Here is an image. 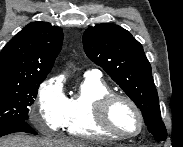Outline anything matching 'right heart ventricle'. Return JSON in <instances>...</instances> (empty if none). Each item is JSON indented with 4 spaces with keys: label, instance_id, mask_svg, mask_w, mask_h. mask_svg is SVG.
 Returning <instances> with one entry per match:
<instances>
[{
    "label": "right heart ventricle",
    "instance_id": "obj_1",
    "mask_svg": "<svg viewBox=\"0 0 183 147\" xmlns=\"http://www.w3.org/2000/svg\"><path fill=\"white\" fill-rule=\"evenodd\" d=\"M111 93L109 86L100 79L86 77L74 94L67 97L63 128L75 137L85 139L116 137L101 129L95 120L94 105L102 96Z\"/></svg>",
    "mask_w": 183,
    "mask_h": 147
}]
</instances>
